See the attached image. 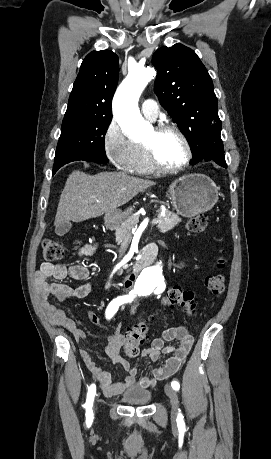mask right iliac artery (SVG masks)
I'll list each match as a JSON object with an SVG mask.
<instances>
[{
    "mask_svg": "<svg viewBox=\"0 0 271 459\" xmlns=\"http://www.w3.org/2000/svg\"><path fill=\"white\" fill-rule=\"evenodd\" d=\"M129 300L126 297H118L111 301L106 309V318L110 319L117 312L120 305L128 302ZM96 394V385L92 384L88 388L87 399L84 407L86 408V422L91 424L93 422V401Z\"/></svg>",
    "mask_w": 271,
    "mask_h": 459,
    "instance_id": "right-iliac-artery-1",
    "label": "right iliac artery"
}]
</instances>
